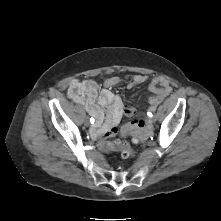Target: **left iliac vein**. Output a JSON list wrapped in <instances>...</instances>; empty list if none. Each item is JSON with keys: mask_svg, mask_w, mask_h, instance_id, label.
<instances>
[{"mask_svg": "<svg viewBox=\"0 0 221 221\" xmlns=\"http://www.w3.org/2000/svg\"><path fill=\"white\" fill-rule=\"evenodd\" d=\"M156 121V116H152L151 118H150V123H154Z\"/></svg>", "mask_w": 221, "mask_h": 221, "instance_id": "1", "label": "left iliac vein"}]
</instances>
